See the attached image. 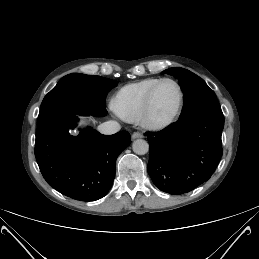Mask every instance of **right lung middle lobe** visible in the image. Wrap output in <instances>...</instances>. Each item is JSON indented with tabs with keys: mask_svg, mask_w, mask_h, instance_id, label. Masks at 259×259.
I'll return each mask as SVG.
<instances>
[{
	"mask_svg": "<svg viewBox=\"0 0 259 259\" xmlns=\"http://www.w3.org/2000/svg\"><path fill=\"white\" fill-rule=\"evenodd\" d=\"M116 84L114 80L100 76L68 74L43 99L38 122L61 112L105 116L104 99Z\"/></svg>",
	"mask_w": 259,
	"mask_h": 259,
	"instance_id": "right-lung-middle-lobe-1",
	"label": "right lung middle lobe"
}]
</instances>
